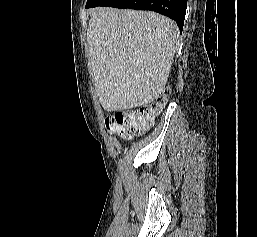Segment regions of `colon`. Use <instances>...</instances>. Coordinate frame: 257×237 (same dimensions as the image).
Listing matches in <instances>:
<instances>
[{
	"instance_id": "obj_1",
	"label": "colon",
	"mask_w": 257,
	"mask_h": 237,
	"mask_svg": "<svg viewBox=\"0 0 257 237\" xmlns=\"http://www.w3.org/2000/svg\"><path fill=\"white\" fill-rule=\"evenodd\" d=\"M167 95L164 93L152 104L134 112L119 111L105 120V126L124 138L143 133L162 111Z\"/></svg>"
}]
</instances>
